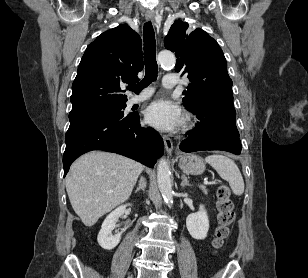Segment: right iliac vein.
I'll use <instances>...</instances> for the list:
<instances>
[{"mask_svg":"<svg viewBox=\"0 0 308 278\" xmlns=\"http://www.w3.org/2000/svg\"><path fill=\"white\" fill-rule=\"evenodd\" d=\"M128 278H133V276L131 275V276H129Z\"/></svg>","mask_w":308,"mask_h":278,"instance_id":"right-iliac-vein-1","label":"right iliac vein"}]
</instances>
